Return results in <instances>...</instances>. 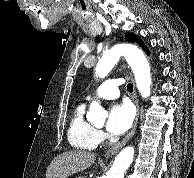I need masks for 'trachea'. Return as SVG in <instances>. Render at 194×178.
I'll use <instances>...</instances> for the list:
<instances>
[{
	"mask_svg": "<svg viewBox=\"0 0 194 178\" xmlns=\"http://www.w3.org/2000/svg\"><path fill=\"white\" fill-rule=\"evenodd\" d=\"M127 90H128L129 92H132V91H133V85H132L131 83H129V84L127 85Z\"/></svg>",
	"mask_w": 194,
	"mask_h": 178,
	"instance_id": "3493384b",
	"label": "trachea"
}]
</instances>
